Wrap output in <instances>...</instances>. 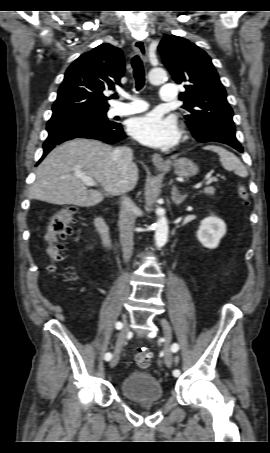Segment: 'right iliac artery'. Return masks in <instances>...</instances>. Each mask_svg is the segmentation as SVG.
I'll return each mask as SVG.
<instances>
[{
	"label": "right iliac artery",
	"mask_w": 270,
	"mask_h": 453,
	"mask_svg": "<svg viewBox=\"0 0 270 453\" xmlns=\"http://www.w3.org/2000/svg\"><path fill=\"white\" fill-rule=\"evenodd\" d=\"M116 328H117V329H121V328H122V323H121V322H117V323H116ZM104 358H105L106 361H109V360L112 358V354H111L110 352H107V353L105 354V357H104Z\"/></svg>",
	"instance_id": "obj_1"
}]
</instances>
